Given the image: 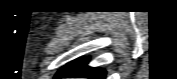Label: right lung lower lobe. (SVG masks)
<instances>
[{
  "instance_id": "right-lung-lower-lobe-1",
  "label": "right lung lower lobe",
  "mask_w": 177,
  "mask_h": 79,
  "mask_svg": "<svg viewBox=\"0 0 177 79\" xmlns=\"http://www.w3.org/2000/svg\"><path fill=\"white\" fill-rule=\"evenodd\" d=\"M88 58L78 59L64 66L58 71L56 77H86L90 79H105V71L103 69L88 67L86 64Z\"/></svg>"
}]
</instances>
